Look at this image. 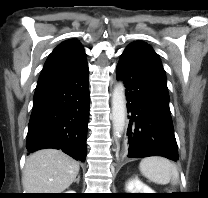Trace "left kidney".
Returning a JSON list of instances; mask_svg holds the SVG:
<instances>
[{"instance_id":"left-kidney-1","label":"left kidney","mask_w":208,"mask_h":198,"mask_svg":"<svg viewBox=\"0 0 208 198\" xmlns=\"http://www.w3.org/2000/svg\"><path fill=\"white\" fill-rule=\"evenodd\" d=\"M126 191L130 193H155L149 186L138 179H131L126 183Z\"/></svg>"}]
</instances>
